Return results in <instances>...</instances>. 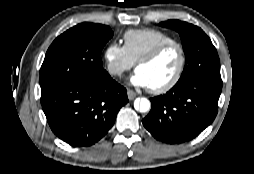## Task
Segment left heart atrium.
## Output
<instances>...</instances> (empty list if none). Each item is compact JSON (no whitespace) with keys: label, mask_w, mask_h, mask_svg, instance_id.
<instances>
[{"label":"left heart atrium","mask_w":254,"mask_h":174,"mask_svg":"<svg viewBox=\"0 0 254 174\" xmlns=\"http://www.w3.org/2000/svg\"><path fill=\"white\" fill-rule=\"evenodd\" d=\"M130 83L136 87L149 88V82L147 78L139 70H136L135 73L130 77Z\"/></svg>","instance_id":"obj_1"}]
</instances>
